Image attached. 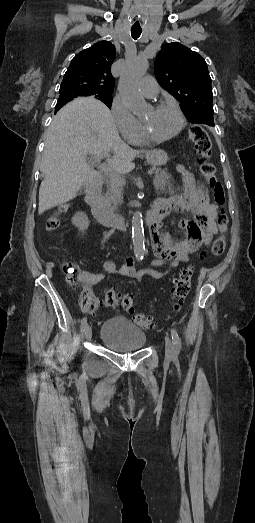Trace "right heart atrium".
<instances>
[{
  "label": "right heart atrium",
  "instance_id": "d8ad5b80",
  "mask_svg": "<svg viewBox=\"0 0 255 523\" xmlns=\"http://www.w3.org/2000/svg\"><path fill=\"white\" fill-rule=\"evenodd\" d=\"M109 111L113 122L124 139H129L139 128V121L119 95L112 100Z\"/></svg>",
  "mask_w": 255,
  "mask_h": 523
}]
</instances>
